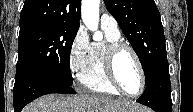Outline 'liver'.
I'll list each match as a JSON object with an SVG mask.
<instances>
[{
	"instance_id": "liver-1",
	"label": "liver",
	"mask_w": 193,
	"mask_h": 112,
	"mask_svg": "<svg viewBox=\"0 0 193 112\" xmlns=\"http://www.w3.org/2000/svg\"><path fill=\"white\" fill-rule=\"evenodd\" d=\"M136 103L93 95H45L23 109V112H136Z\"/></svg>"
}]
</instances>
